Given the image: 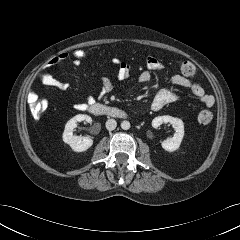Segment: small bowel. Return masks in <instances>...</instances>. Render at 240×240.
I'll use <instances>...</instances> for the list:
<instances>
[{
	"mask_svg": "<svg viewBox=\"0 0 240 240\" xmlns=\"http://www.w3.org/2000/svg\"><path fill=\"white\" fill-rule=\"evenodd\" d=\"M67 59L65 53H60L54 56L48 61L47 66L58 65L61 62ZM112 64L117 67V80L124 81L130 75V66L128 63L114 59ZM146 69L142 71L138 77L139 81L146 83L151 79V73L155 71L163 70V64L153 56H148L145 61ZM39 80L47 86L55 87L58 89H67L68 83L62 80L55 78L45 69L38 74ZM171 82L174 87L187 88L191 94L200 99V101L206 107H212L215 103V99L212 95L207 94L203 87L189 79L186 75L175 74L171 78ZM174 87L164 88L157 92L155 97L152 100L151 108L154 111H159L164 108L167 104L174 102L179 99V94ZM114 88V84L109 77L101 78V93L100 97H104L110 93ZM29 102L38 100V95L34 90H30L27 96ZM95 102V99L92 96H89L86 102H78L74 104V108L80 111L86 110L91 104Z\"/></svg>",
	"mask_w": 240,
	"mask_h": 240,
	"instance_id": "1",
	"label": "small bowel"
}]
</instances>
